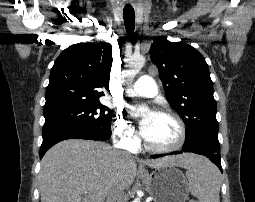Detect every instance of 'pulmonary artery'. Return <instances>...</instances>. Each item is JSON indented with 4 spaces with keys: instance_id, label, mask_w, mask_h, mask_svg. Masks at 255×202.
I'll use <instances>...</instances> for the list:
<instances>
[{
    "instance_id": "obj_1",
    "label": "pulmonary artery",
    "mask_w": 255,
    "mask_h": 202,
    "mask_svg": "<svg viewBox=\"0 0 255 202\" xmlns=\"http://www.w3.org/2000/svg\"><path fill=\"white\" fill-rule=\"evenodd\" d=\"M129 96L153 97L157 94V85L155 80L149 75L141 76L127 91Z\"/></svg>"
}]
</instances>
